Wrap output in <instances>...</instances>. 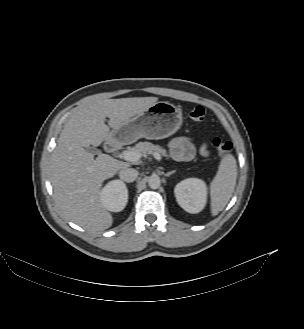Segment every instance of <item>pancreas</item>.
Instances as JSON below:
<instances>
[{
  "mask_svg": "<svg viewBox=\"0 0 304 329\" xmlns=\"http://www.w3.org/2000/svg\"><path fill=\"white\" fill-rule=\"evenodd\" d=\"M128 150H133L140 152L142 156H147L152 152H158L159 154L165 156L168 159L167 151L159 145H154L150 142H138L134 147L129 148Z\"/></svg>",
  "mask_w": 304,
  "mask_h": 329,
  "instance_id": "pancreas-1",
  "label": "pancreas"
}]
</instances>
